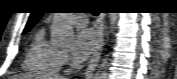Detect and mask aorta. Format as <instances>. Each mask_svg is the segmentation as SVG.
I'll return each instance as SVG.
<instances>
[{
	"mask_svg": "<svg viewBox=\"0 0 177 79\" xmlns=\"http://www.w3.org/2000/svg\"><path fill=\"white\" fill-rule=\"evenodd\" d=\"M110 28L114 32L116 29L118 14H109ZM51 36L54 45L59 47H66L72 44L74 39V31L71 24L66 20L65 13H54ZM109 70L108 55H106L98 66L94 75V79H107Z\"/></svg>",
	"mask_w": 177,
	"mask_h": 79,
	"instance_id": "aorta-1",
	"label": "aorta"
}]
</instances>
